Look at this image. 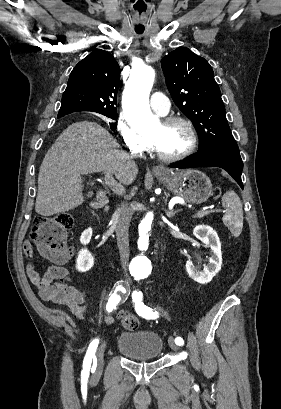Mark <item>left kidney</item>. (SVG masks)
<instances>
[{"label": "left kidney", "instance_id": "5707ae66", "mask_svg": "<svg viewBox=\"0 0 281 409\" xmlns=\"http://www.w3.org/2000/svg\"><path fill=\"white\" fill-rule=\"evenodd\" d=\"M193 235L196 239L205 243L206 247H210L211 257L208 265H206L202 271H199L198 267H195L192 261H187L186 271L193 281H197L200 285H206V283L212 281L213 277H215L216 273H219L221 269V243L216 231H213L209 225H197V227L193 229Z\"/></svg>", "mask_w": 281, "mask_h": 409}]
</instances>
